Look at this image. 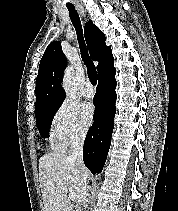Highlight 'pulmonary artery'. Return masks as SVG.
<instances>
[{"mask_svg":"<svg viewBox=\"0 0 178 211\" xmlns=\"http://www.w3.org/2000/svg\"><path fill=\"white\" fill-rule=\"evenodd\" d=\"M83 96L90 98L94 95L93 85L90 81H85L82 85Z\"/></svg>","mask_w":178,"mask_h":211,"instance_id":"pulmonary-artery-1","label":"pulmonary artery"}]
</instances>
